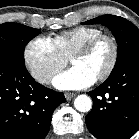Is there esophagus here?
Returning a JSON list of instances; mask_svg holds the SVG:
<instances>
[{
  "mask_svg": "<svg viewBox=\"0 0 139 139\" xmlns=\"http://www.w3.org/2000/svg\"><path fill=\"white\" fill-rule=\"evenodd\" d=\"M74 96H75L74 93H71V92H66V93H65V98H66L67 100H71Z\"/></svg>",
  "mask_w": 139,
  "mask_h": 139,
  "instance_id": "obj_1",
  "label": "esophagus"
}]
</instances>
